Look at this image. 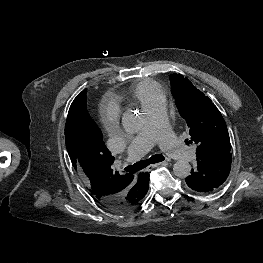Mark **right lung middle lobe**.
I'll use <instances>...</instances> for the list:
<instances>
[{"label": "right lung middle lobe", "instance_id": "obj_1", "mask_svg": "<svg viewBox=\"0 0 263 263\" xmlns=\"http://www.w3.org/2000/svg\"><path fill=\"white\" fill-rule=\"evenodd\" d=\"M81 104H82V108H83L82 120L87 121L88 120V114L86 112V89L84 90V94L82 97V103Z\"/></svg>", "mask_w": 263, "mask_h": 263}]
</instances>
